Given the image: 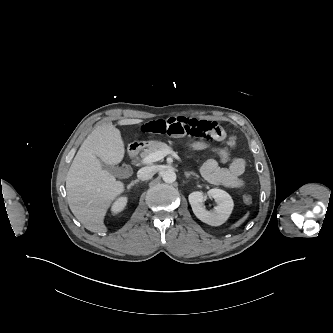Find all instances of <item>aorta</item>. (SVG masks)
<instances>
[{
    "label": "aorta",
    "mask_w": 333,
    "mask_h": 333,
    "mask_svg": "<svg viewBox=\"0 0 333 333\" xmlns=\"http://www.w3.org/2000/svg\"><path fill=\"white\" fill-rule=\"evenodd\" d=\"M163 181L173 183L176 180V173L173 170H166L162 175Z\"/></svg>",
    "instance_id": "1"
}]
</instances>
